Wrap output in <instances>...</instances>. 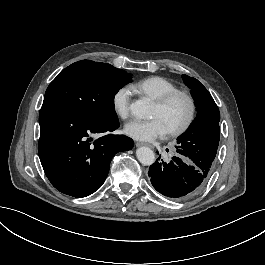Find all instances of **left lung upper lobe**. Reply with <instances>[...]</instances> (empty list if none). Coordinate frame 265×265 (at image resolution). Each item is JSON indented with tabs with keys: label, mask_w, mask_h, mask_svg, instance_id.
Segmentation results:
<instances>
[{
	"label": "left lung upper lobe",
	"mask_w": 265,
	"mask_h": 265,
	"mask_svg": "<svg viewBox=\"0 0 265 265\" xmlns=\"http://www.w3.org/2000/svg\"><path fill=\"white\" fill-rule=\"evenodd\" d=\"M182 78L191 89L198 112L187 131L178 137L177 152L213 168L220 140L219 109L201 82L187 75Z\"/></svg>",
	"instance_id": "left-lung-upper-lobe-1"
}]
</instances>
